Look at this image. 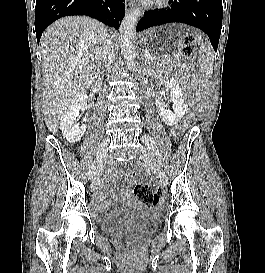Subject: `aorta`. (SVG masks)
Instances as JSON below:
<instances>
[{"label":"aorta","mask_w":265,"mask_h":273,"mask_svg":"<svg viewBox=\"0 0 265 273\" xmlns=\"http://www.w3.org/2000/svg\"><path fill=\"white\" fill-rule=\"evenodd\" d=\"M141 15V9H134L125 15L120 26V46L121 52L127 62V67L131 68L134 65L136 56L135 52V27Z\"/></svg>","instance_id":"1"}]
</instances>
